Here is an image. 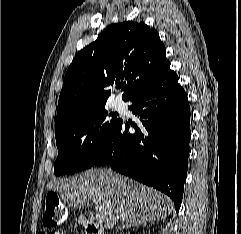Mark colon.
<instances>
[{"label": "colon", "instance_id": "colon-1", "mask_svg": "<svg viewBox=\"0 0 241 234\" xmlns=\"http://www.w3.org/2000/svg\"><path fill=\"white\" fill-rule=\"evenodd\" d=\"M68 216L66 206L61 202L56 194H48L45 202V212L43 214V224L47 228H54L62 224ZM44 234V233H41Z\"/></svg>", "mask_w": 241, "mask_h": 234}]
</instances>
